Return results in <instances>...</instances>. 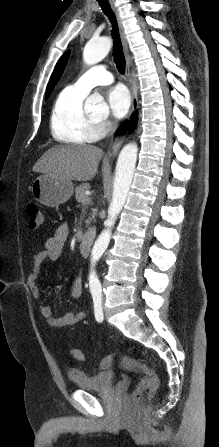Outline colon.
Segmentation results:
<instances>
[{"label": "colon", "instance_id": "5ec220e1", "mask_svg": "<svg viewBox=\"0 0 219 447\" xmlns=\"http://www.w3.org/2000/svg\"><path fill=\"white\" fill-rule=\"evenodd\" d=\"M27 214L29 218L30 228L36 229L42 224L43 216L41 208L38 204L29 203L27 205ZM71 354L73 358L77 361L85 360L84 353L78 348H73L71 350ZM115 361H117L121 367L137 372L143 376L137 388L131 395V401L133 403L142 402L146 398L150 397L157 390L159 386V379L156 376V374L150 369H148L146 366L140 364L139 362L133 360L128 356H122V355L106 356L101 359L100 366L103 369H108L112 367Z\"/></svg>", "mask_w": 219, "mask_h": 447}]
</instances>
